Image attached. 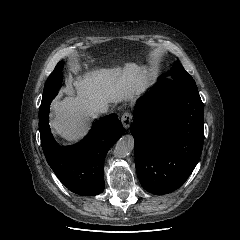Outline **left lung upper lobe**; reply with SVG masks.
I'll list each match as a JSON object with an SVG mask.
<instances>
[{
  "mask_svg": "<svg viewBox=\"0 0 240 240\" xmlns=\"http://www.w3.org/2000/svg\"><path fill=\"white\" fill-rule=\"evenodd\" d=\"M160 79H172L186 83H195L191 75L183 68L179 61L173 65L169 77H162Z\"/></svg>",
  "mask_w": 240,
  "mask_h": 240,
  "instance_id": "5c2ea615",
  "label": "left lung upper lobe"
}]
</instances>
